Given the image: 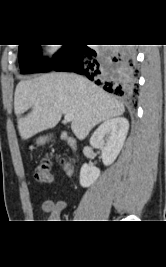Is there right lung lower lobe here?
Segmentation results:
<instances>
[{
	"label": "right lung lower lobe",
	"instance_id": "1",
	"mask_svg": "<svg viewBox=\"0 0 166 267\" xmlns=\"http://www.w3.org/2000/svg\"><path fill=\"white\" fill-rule=\"evenodd\" d=\"M133 63L131 47L95 51L77 44L71 45L64 59L52 70L84 74L107 92L129 99L137 92Z\"/></svg>",
	"mask_w": 166,
	"mask_h": 267
}]
</instances>
